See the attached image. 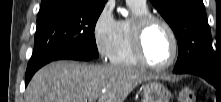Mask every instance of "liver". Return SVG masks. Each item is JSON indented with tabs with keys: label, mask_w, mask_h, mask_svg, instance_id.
Instances as JSON below:
<instances>
[{
	"label": "liver",
	"mask_w": 221,
	"mask_h": 102,
	"mask_svg": "<svg viewBox=\"0 0 221 102\" xmlns=\"http://www.w3.org/2000/svg\"><path fill=\"white\" fill-rule=\"evenodd\" d=\"M152 78L130 67L57 61L35 73L25 102H124L138 84Z\"/></svg>",
	"instance_id": "obj_1"
}]
</instances>
